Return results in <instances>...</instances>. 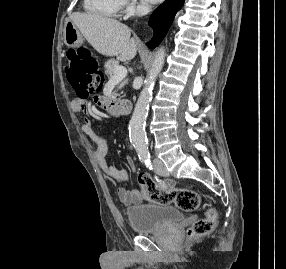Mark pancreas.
<instances>
[{
    "mask_svg": "<svg viewBox=\"0 0 286 269\" xmlns=\"http://www.w3.org/2000/svg\"><path fill=\"white\" fill-rule=\"evenodd\" d=\"M117 66H119V62L117 60H115V59L108 60L105 63V66H104L105 67V73L107 74V76L109 78H111L114 75L115 69H116ZM115 96H117V91L116 90L112 93L111 98H113Z\"/></svg>",
    "mask_w": 286,
    "mask_h": 269,
    "instance_id": "cf45deb5",
    "label": "pancreas"
}]
</instances>
